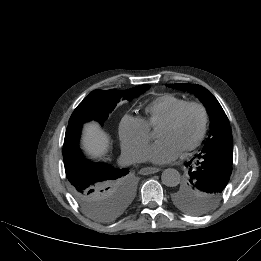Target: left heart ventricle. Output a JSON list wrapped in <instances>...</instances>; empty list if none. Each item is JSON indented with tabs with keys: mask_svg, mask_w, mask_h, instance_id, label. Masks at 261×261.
Returning a JSON list of instances; mask_svg holds the SVG:
<instances>
[{
	"mask_svg": "<svg viewBox=\"0 0 261 261\" xmlns=\"http://www.w3.org/2000/svg\"><path fill=\"white\" fill-rule=\"evenodd\" d=\"M202 124L199 108H188L174 126H161L156 134L158 140H170L182 152L198 136Z\"/></svg>",
	"mask_w": 261,
	"mask_h": 261,
	"instance_id": "1",
	"label": "left heart ventricle"
}]
</instances>
